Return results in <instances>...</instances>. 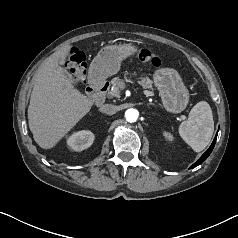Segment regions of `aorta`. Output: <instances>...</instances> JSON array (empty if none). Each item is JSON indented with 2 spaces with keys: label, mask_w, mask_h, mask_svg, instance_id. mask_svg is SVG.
<instances>
[{
  "label": "aorta",
  "mask_w": 238,
  "mask_h": 238,
  "mask_svg": "<svg viewBox=\"0 0 238 238\" xmlns=\"http://www.w3.org/2000/svg\"><path fill=\"white\" fill-rule=\"evenodd\" d=\"M138 116H139V112L134 108H130L125 111V119L127 122H130V123L135 122Z\"/></svg>",
  "instance_id": "1"
}]
</instances>
